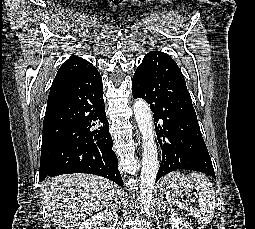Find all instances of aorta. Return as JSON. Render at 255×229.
Masks as SVG:
<instances>
[{
    "instance_id": "762f6f07",
    "label": "aorta",
    "mask_w": 255,
    "mask_h": 229,
    "mask_svg": "<svg viewBox=\"0 0 255 229\" xmlns=\"http://www.w3.org/2000/svg\"><path fill=\"white\" fill-rule=\"evenodd\" d=\"M134 116L142 134L143 147L139 202L142 205V211L149 214L159 160L151 110L146 101L141 98L136 99L134 103Z\"/></svg>"
}]
</instances>
